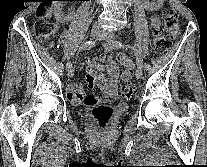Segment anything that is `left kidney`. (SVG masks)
I'll list each match as a JSON object with an SVG mask.
<instances>
[{"instance_id":"1","label":"left kidney","mask_w":207,"mask_h":167,"mask_svg":"<svg viewBox=\"0 0 207 167\" xmlns=\"http://www.w3.org/2000/svg\"><path fill=\"white\" fill-rule=\"evenodd\" d=\"M161 1H164V0H161ZM145 7H146V9H149V10H150V9H156V8H158V7H160V6H159V4H158L157 6L152 7V5L146 3V4H145Z\"/></svg>"}]
</instances>
